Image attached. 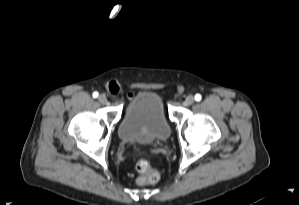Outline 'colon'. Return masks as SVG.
Masks as SVG:
<instances>
[{"label":"colon","instance_id":"5ec220e1","mask_svg":"<svg viewBox=\"0 0 299 205\" xmlns=\"http://www.w3.org/2000/svg\"><path fill=\"white\" fill-rule=\"evenodd\" d=\"M139 174L137 182L141 185L154 184L159 180V173L153 169L146 158H139L135 164Z\"/></svg>","mask_w":299,"mask_h":205}]
</instances>
